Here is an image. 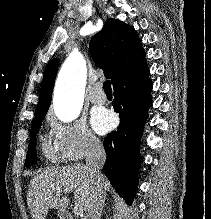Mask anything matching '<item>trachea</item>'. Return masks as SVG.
I'll return each instance as SVG.
<instances>
[{
	"instance_id": "3493384b",
	"label": "trachea",
	"mask_w": 211,
	"mask_h": 219,
	"mask_svg": "<svg viewBox=\"0 0 211 219\" xmlns=\"http://www.w3.org/2000/svg\"><path fill=\"white\" fill-rule=\"evenodd\" d=\"M103 88L105 92H112L111 84L109 80H106L103 84Z\"/></svg>"
}]
</instances>
